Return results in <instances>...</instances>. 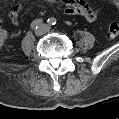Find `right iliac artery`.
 Wrapping results in <instances>:
<instances>
[{"mask_svg":"<svg viewBox=\"0 0 119 119\" xmlns=\"http://www.w3.org/2000/svg\"><path fill=\"white\" fill-rule=\"evenodd\" d=\"M43 20L41 18L39 19H35L32 23H31V28L32 29H37L41 24H42Z\"/></svg>","mask_w":119,"mask_h":119,"instance_id":"obj_1","label":"right iliac artery"}]
</instances>
